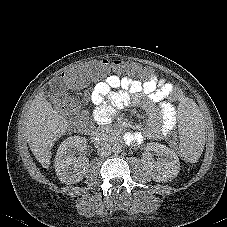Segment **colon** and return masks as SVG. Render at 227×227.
I'll list each match as a JSON object with an SVG mask.
<instances>
[{
  "instance_id": "obj_1",
  "label": "colon",
  "mask_w": 227,
  "mask_h": 227,
  "mask_svg": "<svg viewBox=\"0 0 227 227\" xmlns=\"http://www.w3.org/2000/svg\"><path fill=\"white\" fill-rule=\"evenodd\" d=\"M111 64L108 60L103 59L101 61H93L86 64L78 65L67 72H65L62 76L63 84L69 89L80 90L84 88L91 77V75H95L97 78L102 79L106 76L107 72L110 70ZM112 68L115 72H122L125 75H137L140 78L145 77L149 81H156L160 78L161 73L158 69L147 67L144 64L137 66L131 61L122 62L120 60L114 61ZM178 91L173 89L171 95H175ZM51 101L55 105V107L69 115L76 116V125L78 128H84L87 123V117L85 112L83 111L79 101L74 97H66L60 95H52ZM166 139L169 147L176 151V155L179 159L195 162V160H187L182 157L180 153V147L178 143V138L175 132L170 131L166 135Z\"/></svg>"
}]
</instances>
